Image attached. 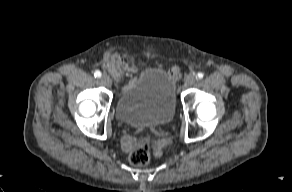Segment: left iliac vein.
<instances>
[{
  "mask_svg": "<svg viewBox=\"0 0 292 192\" xmlns=\"http://www.w3.org/2000/svg\"><path fill=\"white\" fill-rule=\"evenodd\" d=\"M196 81V77L193 74H188L184 79L185 87L192 86Z\"/></svg>",
  "mask_w": 292,
  "mask_h": 192,
  "instance_id": "left-iliac-vein-1",
  "label": "left iliac vein"
}]
</instances>
